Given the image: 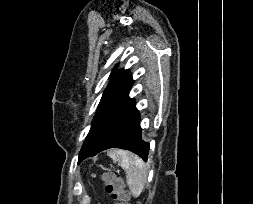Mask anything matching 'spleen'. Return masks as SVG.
I'll list each match as a JSON object with an SVG mask.
<instances>
[{
    "instance_id": "spleen-1",
    "label": "spleen",
    "mask_w": 253,
    "mask_h": 204,
    "mask_svg": "<svg viewBox=\"0 0 253 204\" xmlns=\"http://www.w3.org/2000/svg\"><path fill=\"white\" fill-rule=\"evenodd\" d=\"M108 155L125 170L129 189L134 197H138L148 176L145 162L137 155L124 150H112Z\"/></svg>"
}]
</instances>
